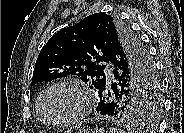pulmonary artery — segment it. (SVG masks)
Wrapping results in <instances>:
<instances>
[{"label": "pulmonary artery", "instance_id": "e3ab8cb5", "mask_svg": "<svg viewBox=\"0 0 184 133\" xmlns=\"http://www.w3.org/2000/svg\"><path fill=\"white\" fill-rule=\"evenodd\" d=\"M106 77H107L108 81H110L112 79V74L109 70L106 71Z\"/></svg>", "mask_w": 184, "mask_h": 133}]
</instances>
